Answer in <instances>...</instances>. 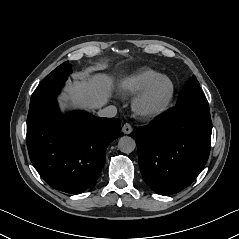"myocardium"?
Returning a JSON list of instances; mask_svg holds the SVG:
<instances>
[{"mask_svg":"<svg viewBox=\"0 0 239 239\" xmlns=\"http://www.w3.org/2000/svg\"><path fill=\"white\" fill-rule=\"evenodd\" d=\"M161 81L168 84V90L164 98L156 104H150L149 98L154 87ZM175 94V86L173 81L166 75H158L154 78L132 102L133 111L140 117L151 119L161 115L169 107Z\"/></svg>","mask_w":239,"mask_h":239,"instance_id":"1","label":"myocardium"}]
</instances>
